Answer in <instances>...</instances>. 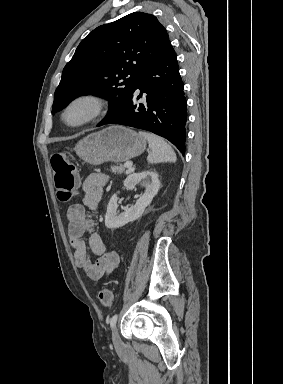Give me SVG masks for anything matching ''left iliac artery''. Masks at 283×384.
I'll return each mask as SVG.
<instances>
[{
	"mask_svg": "<svg viewBox=\"0 0 283 384\" xmlns=\"http://www.w3.org/2000/svg\"><path fill=\"white\" fill-rule=\"evenodd\" d=\"M117 318H118V315H117V314H115V315H113V316L111 317V319H110V327H111V328H114V326H115V324H116V321H117Z\"/></svg>",
	"mask_w": 283,
	"mask_h": 384,
	"instance_id": "obj_1",
	"label": "left iliac artery"
}]
</instances>
